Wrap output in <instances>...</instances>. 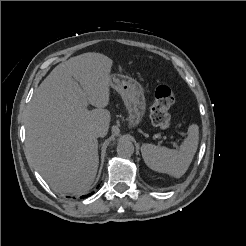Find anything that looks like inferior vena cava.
Listing matches in <instances>:
<instances>
[{
    "instance_id": "inferior-vena-cava-1",
    "label": "inferior vena cava",
    "mask_w": 246,
    "mask_h": 246,
    "mask_svg": "<svg viewBox=\"0 0 246 246\" xmlns=\"http://www.w3.org/2000/svg\"><path fill=\"white\" fill-rule=\"evenodd\" d=\"M93 135L95 137H102L103 136V129L98 127L93 130Z\"/></svg>"
}]
</instances>
